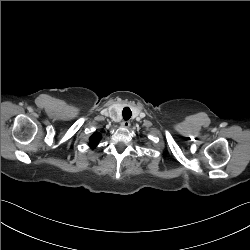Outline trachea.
<instances>
[{
    "label": "trachea",
    "instance_id": "1",
    "mask_svg": "<svg viewBox=\"0 0 250 250\" xmlns=\"http://www.w3.org/2000/svg\"><path fill=\"white\" fill-rule=\"evenodd\" d=\"M122 115H123L124 120H129L132 115L130 108L125 107L122 111Z\"/></svg>",
    "mask_w": 250,
    "mask_h": 250
}]
</instances>
